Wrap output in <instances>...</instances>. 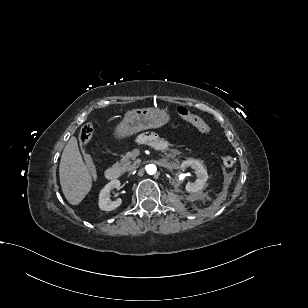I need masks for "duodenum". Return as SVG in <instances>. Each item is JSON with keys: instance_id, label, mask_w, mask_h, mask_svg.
<instances>
[{"instance_id": "duodenum-1", "label": "duodenum", "mask_w": 308, "mask_h": 308, "mask_svg": "<svg viewBox=\"0 0 308 308\" xmlns=\"http://www.w3.org/2000/svg\"><path fill=\"white\" fill-rule=\"evenodd\" d=\"M164 147V144H159L158 148L162 149ZM105 177L110 180V181H114L117 180L121 177V171L118 167H109L106 169L105 171Z\"/></svg>"}]
</instances>
